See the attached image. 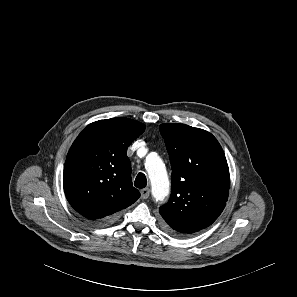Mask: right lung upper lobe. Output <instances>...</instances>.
<instances>
[{
    "label": "right lung upper lobe",
    "instance_id": "1",
    "mask_svg": "<svg viewBox=\"0 0 297 297\" xmlns=\"http://www.w3.org/2000/svg\"><path fill=\"white\" fill-rule=\"evenodd\" d=\"M144 130L138 121L111 118L89 124L78 135L63 173L66 198L78 213L107 221L140 197L132 185L127 148Z\"/></svg>",
    "mask_w": 297,
    "mask_h": 297
}]
</instances>
